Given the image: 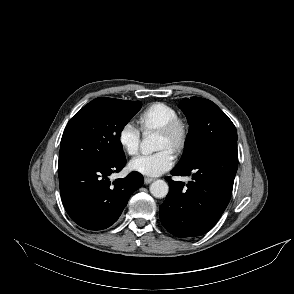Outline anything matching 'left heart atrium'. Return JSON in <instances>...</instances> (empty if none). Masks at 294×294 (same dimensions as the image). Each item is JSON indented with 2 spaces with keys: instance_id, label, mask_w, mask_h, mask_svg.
Masks as SVG:
<instances>
[{
  "instance_id": "39dd6f15",
  "label": "left heart atrium",
  "mask_w": 294,
  "mask_h": 294,
  "mask_svg": "<svg viewBox=\"0 0 294 294\" xmlns=\"http://www.w3.org/2000/svg\"><path fill=\"white\" fill-rule=\"evenodd\" d=\"M175 156L171 149H162L156 153L140 155L132 159L129 168L147 176H159L174 164Z\"/></svg>"
}]
</instances>
